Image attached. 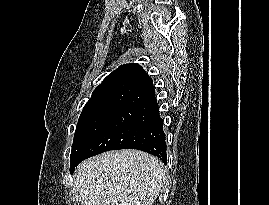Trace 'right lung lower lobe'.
I'll return each instance as SVG.
<instances>
[{
	"mask_svg": "<svg viewBox=\"0 0 269 205\" xmlns=\"http://www.w3.org/2000/svg\"><path fill=\"white\" fill-rule=\"evenodd\" d=\"M138 149L167 164L163 120L156 97L130 106L113 117L80 151L74 168L84 159L109 150Z\"/></svg>",
	"mask_w": 269,
	"mask_h": 205,
	"instance_id": "right-lung-lower-lobe-1",
	"label": "right lung lower lobe"
}]
</instances>
